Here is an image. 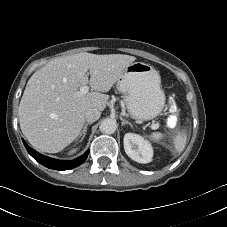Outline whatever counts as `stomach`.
I'll use <instances>...</instances> for the list:
<instances>
[{"instance_id":"stomach-1","label":"stomach","mask_w":227,"mask_h":227,"mask_svg":"<svg viewBox=\"0 0 227 227\" xmlns=\"http://www.w3.org/2000/svg\"><path fill=\"white\" fill-rule=\"evenodd\" d=\"M116 87L123 94L129 115L135 120H152L165 106L160 74L150 64L134 62L128 65Z\"/></svg>"}]
</instances>
